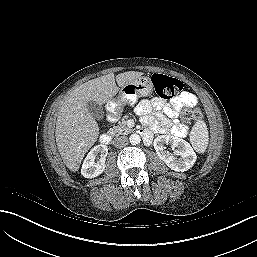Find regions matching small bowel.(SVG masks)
<instances>
[{"label": "small bowel", "mask_w": 257, "mask_h": 257, "mask_svg": "<svg viewBox=\"0 0 257 257\" xmlns=\"http://www.w3.org/2000/svg\"><path fill=\"white\" fill-rule=\"evenodd\" d=\"M197 104V98L190 92H183L178 97L172 99L169 103L159 98H154L151 101H141L136 111L143 118L145 124L150 127V130H145L148 134L146 141H150L152 133H171L175 136H185L187 128L180 123H173L170 119L178 115L183 107H192ZM154 111L156 115H152Z\"/></svg>", "instance_id": "small-bowel-1"}]
</instances>
